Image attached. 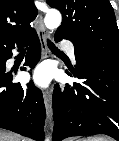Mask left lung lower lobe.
<instances>
[{
	"label": "left lung lower lobe",
	"mask_w": 119,
	"mask_h": 141,
	"mask_svg": "<svg viewBox=\"0 0 119 141\" xmlns=\"http://www.w3.org/2000/svg\"><path fill=\"white\" fill-rule=\"evenodd\" d=\"M62 39L55 35L56 42ZM70 71L83 81L62 91L55 85L53 141L95 134L119 141V62L81 58Z\"/></svg>",
	"instance_id": "0a47b994"
}]
</instances>
